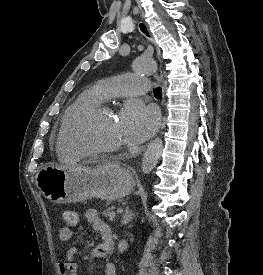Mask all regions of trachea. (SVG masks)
<instances>
[{
	"instance_id": "obj_1",
	"label": "trachea",
	"mask_w": 263,
	"mask_h": 275,
	"mask_svg": "<svg viewBox=\"0 0 263 275\" xmlns=\"http://www.w3.org/2000/svg\"><path fill=\"white\" fill-rule=\"evenodd\" d=\"M154 96L155 98H161L162 97V89L161 87H157L154 90Z\"/></svg>"
}]
</instances>
